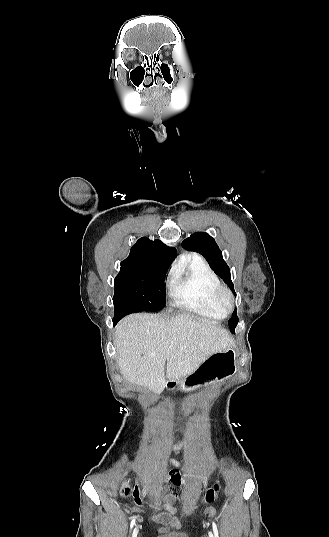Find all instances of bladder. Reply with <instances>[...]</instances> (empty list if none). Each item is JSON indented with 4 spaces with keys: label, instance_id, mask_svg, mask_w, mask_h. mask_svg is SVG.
Listing matches in <instances>:
<instances>
[{
    "label": "bladder",
    "instance_id": "1",
    "mask_svg": "<svg viewBox=\"0 0 329 537\" xmlns=\"http://www.w3.org/2000/svg\"><path fill=\"white\" fill-rule=\"evenodd\" d=\"M155 537H190V535L186 532L160 530Z\"/></svg>",
    "mask_w": 329,
    "mask_h": 537
}]
</instances>
